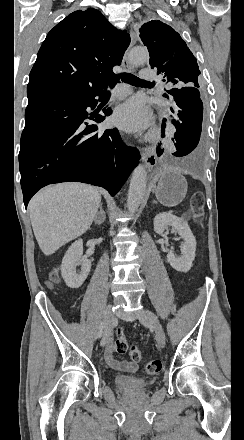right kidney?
I'll list each match as a JSON object with an SVG mask.
<instances>
[{"label":"right kidney","mask_w":244,"mask_h":440,"mask_svg":"<svg viewBox=\"0 0 244 440\" xmlns=\"http://www.w3.org/2000/svg\"><path fill=\"white\" fill-rule=\"evenodd\" d=\"M76 266H81L80 272H76ZM91 270V262L87 256H83V242L76 240L68 248L61 266V274L68 288H80L84 284Z\"/></svg>","instance_id":"ca27d5eb"}]
</instances>
